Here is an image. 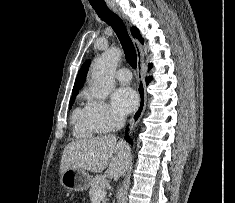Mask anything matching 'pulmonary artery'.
Listing matches in <instances>:
<instances>
[{
  "label": "pulmonary artery",
  "instance_id": "1",
  "mask_svg": "<svg viewBox=\"0 0 235 203\" xmlns=\"http://www.w3.org/2000/svg\"><path fill=\"white\" fill-rule=\"evenodd\" d=\"M115 75L116 78L122 83H128L132 78V74L128 68H120L117 70Z\"/></svg>",
  "mask_w": 235,
  "mask_h": 203
}]
</instances>
